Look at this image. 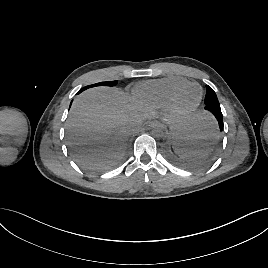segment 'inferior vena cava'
I'll return each mask as SVG.
<instances>
[{"instance_id": "1", "label": "inferior vena cava", "mask_w": 268, "mask_h": 268, "mask_svg": "<svg viewBox=\"0 0 268 268\" xmlns=\"http://www.w3.org/2000/svg\"><path fill=\"white\" fill-rule=\"evenodd\" d=\"M132 126H133V127H131V129H130V130H131V132H133V133H134V132H136V130H137L136 128H138V126H139V125H138V123H136V122H135V123H133V125H132Z\"/></svg>"}]
</instances>
